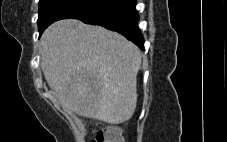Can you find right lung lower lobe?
<instances>
[{
	"mask_svg": "<svg viewBox=\"0 0 227 142\" xmlns=\"http://www.w3.org/2000/svg\"><path fill=\"white\" fill-rule=\"evenodd\" d=\"M136 0H112L106 6L75 17L88 24L116 31L144 49V38L138 28Z\"/></svg>",
	"mask_w": 227,
	"mask_h": 142,
	"instance_id": "obj_1",
	"label": "right lung lower lobe"
}]
</instances>
